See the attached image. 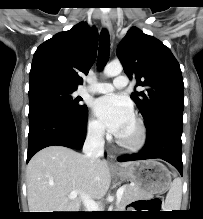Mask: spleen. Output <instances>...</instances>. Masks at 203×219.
Returning <instances> with one entry per match:
<instances>
[{
	"instance_id": "3e777b00",
	"label": "spleen",
	"mask_w": 203,
	"mask_h": 219,
	"mask_svg": "<svg viewBox=\"0 0 203 219\" xmlns=\"http://www.w3.org/2000/svg\"><path fill=\"white\" fill-rule=\"evenodd\" d=\"M182 199V182L175 178L171 183L165 200V211L180 210Z\"/></svg>"
}]
</instances>
